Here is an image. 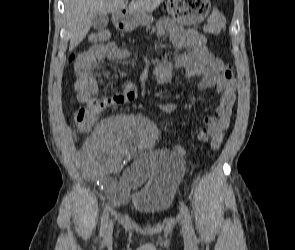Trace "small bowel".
<instances>
[{"instance_id": "small-bowel-1", "label": "small bowel", "mask_w": 295, "mask_h": 250, "mask_svg": "<svg viewBox=\"0 0 295 250\" xmlns=\"http://www.w3.org/2000/svg\"><path fill=\"white\" fill-rule=\"evenodd\" d=\"M161 36H169L174 47L182 49L173 61L162 60L154 69L157 81L169 83L175 69H183L188 77L199 78V90L215 88L221 95L216 116H205L203 126L196 130V138L205 142L210 139L211 147L221 144L228 129L235 104L236 82L223 75L224 63L206 46V37L194 29L182 28L168 19L158 23ZM130 57V52L114 42L96 44L87 50L85 58L74 56L73 65L76 80L74 88L78 102L95 106L99 113L117 105L133 101L137 96L136 87L127 82L122 92L110 97L99 98L98 87L102 82L100 64ZM174 104H163L165 112L174 110ZM157 130L152 123L139 114L119 115L102 122L87 140L84 148L85 171L97 179L117 199L125 200L130 192L141 186L149 176L148 159L142 155L150 150L156 141ZM178 155H184L181 146L174 148ZM125 160H132L119 180L112 176L113 170Z\"/></svg>"}]
</instances>
